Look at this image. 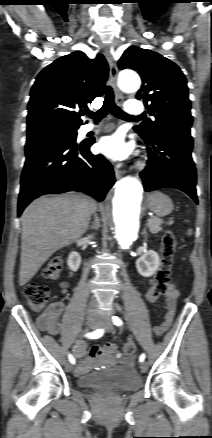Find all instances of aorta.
<instances>
[{
    "label": "aorta",
    "instance_id": "obj_1",
    "mask_svg": "<svg viewBox=\"0 0 212 438\" xmlns=\"http://www.w3.org/2000/svg\"><path fill=\"white\" fill-rule=\"evenodd\" d=\"M140 83L135 72L120 73L119 84L123 91L136 92ZM142 192L140 181L128 176L117 183L115 194L110 200L112 231L122 250L128 249L138 237Z\"/></svg>",
    "mask_w": 212,
    "mask_h": 438
}]
</instances>
